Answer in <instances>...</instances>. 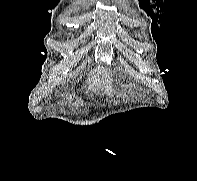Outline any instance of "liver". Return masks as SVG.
I'll return each instance as SVG.
<instances>
[{
  "label": "liver",
  "mask_w": 197,
  "mask_h": 181,
  "mask_svg": "<svg viewBox=\"0 0 197 181\" xmlns=\"http://www.w3.org/2000/svg\"><path fill=\"white\" fill-rule=\"evenodd\" d=\"M112 76L113 73L110 69L104 67H97L92 69L87 78L88 86H85L86 92L92 91L100 93V90L103 91V94L113 95L115 92L112 86Z\"/></svg>",
  "instance_id": "6515ba94"
}]
</instances>
